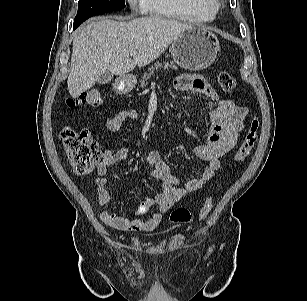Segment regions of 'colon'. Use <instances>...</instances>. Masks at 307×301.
Wrapping results in <instances>:
<instances>
[{"instance_id":"obj_1","label":"colon","mask_w":307,"mask_h":301,"mask_svg":"<svg viewBox=\"0 0 307 301\" xmlns=\"http://www.w3.org/2000/svg\"><path fill=\"white\" fill-rule=\"evenodd\" d=\"M220 87L225 91H231L236 87L235 78L228 72H220L217 77ZM102 103V95L97 88H91L81 93L75 100L69 101L70 105L79 104L96 108ZM260 127L257 116L252 117L249 122L242 142L234 155L235 162L244 161L254 148ZM69 164L78 176L89 175L95 166L103 159L92 133L86 128H74L64 126L60 133ZM214 205V197L209 196L204 201L200 211V220H205ZM192 219L188 209H176L170 215V221L174 224H187Z\"/></svg>"}]
</instances>
